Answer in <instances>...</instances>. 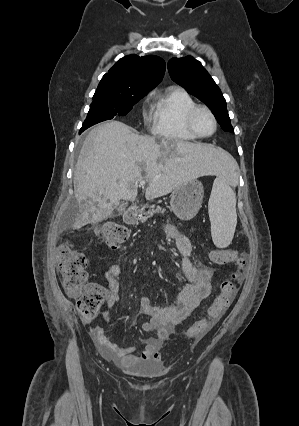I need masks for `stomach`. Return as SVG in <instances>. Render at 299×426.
<instances>
[{
  "instance_id": "0dacf381",
  "label": "stomach",
  "mask_w": 299,
  "mask_h": 426,
  "mask_svg": "<svg viewBox=\"0 0 299 426\" xmlns=\"http://www.w3.org/2000/svg\"><path fill=\"white\" fill-rule=\"evenodd\" d=\"M203 197V185L196 180L187 181L173 191L170 208L179 219L191 220L200 210Z\"/></svg>"
}]
</instances>
